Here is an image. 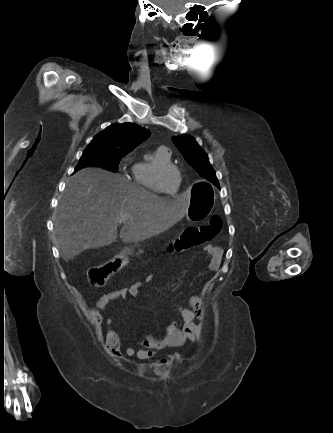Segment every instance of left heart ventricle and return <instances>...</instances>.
Returning a JSON list of instances; mask_svg holds the SVG:
<instances>
[{"label": "left heart ventricle", "mask_w": 333, "mask_h": 433, "mask_svg": "<svg viewBox=\"0 0 333 433\" xmlns=\"http://www.w3.org/2000/svg\"><path fill=\"white\" fill-rule=\"evenodd\" d=\"M178 185V175L173 170H168L163 176V186L164 188L172 193L176 191Z\"/></svg>", "instance_id": "obj_1"}]
</instances>
